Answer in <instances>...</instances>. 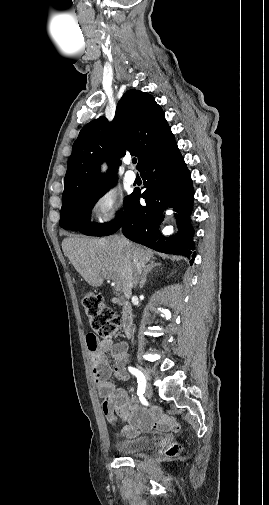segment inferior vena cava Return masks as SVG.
Masks as SVG:
<instances>
[{
  "instance_id": "inferior-vena-cava-1",
  "label": "inferior vena cava",
  "mask_w": 269,
  "mask_h": 505,
  "mask_svg": "<svg viewBox=\"0 0 269 505\" xmlns=\"http://www.w3.org/2000/svg\"><path fill=\"white\" fill-rule=\"evenodd\" d=\"M133 262L135 265V277L133 283L134 285H136L138 282L139 275L141 274V265L135 256L133 257Z\"/></svg>"
}]
</instances>
